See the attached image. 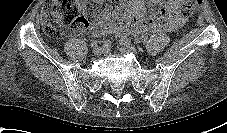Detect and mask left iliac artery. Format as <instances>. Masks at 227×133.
<instances>
[{"label": "left iliac artery", "instance_id": "obj_1", "mask_svg": "<svg viewBox=\"0 0 227 133\" xmlns=\"http://www.w3.org/2000/svg\"><path fill=\"white\" fill-rule=\"evenodd\" d=\"M121 42H124V43H126V44H130V43H131V40H130L129 38H123V39L121 40Z\"/></svg>", "mask_w": 227, "mask_h": 133}]
</instances>
